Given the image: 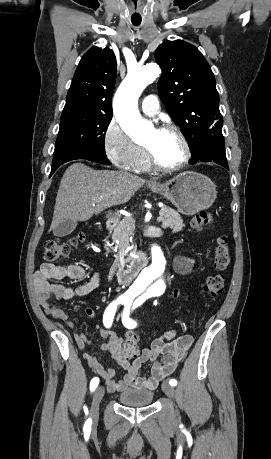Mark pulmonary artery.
<instances>
[{
    "label": "pulmonary artery",
    "instance_id": "1",
    "mask_svg": "<svg viewBox=\"0 0 271 459\" xmlns=\"http://www.w3.org/2000/svg\"><path fill=\"white\" fill-rule=\"evenodd\" d=\"M142 111L148 116L156 115L159 110V96L158 95H147L143 99L141 104Z\"/></svg>",
    "mask_w": 271,
    "mask_h": 459
}]
</instances>
